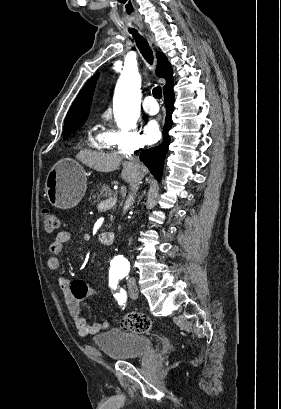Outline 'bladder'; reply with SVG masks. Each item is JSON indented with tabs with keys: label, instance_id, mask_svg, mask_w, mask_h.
I'll return each instance as SVG.
<instances>
[{
	"label": "bladder",
	"instance_id": "1",
	"mask_svg": "<svg viewBox=\"0 0 281 409\" xmlns=\"http://www.w3.org/2000/svg\"><path fill=\"white\" fill-rule=\"evenodd\" d=\"M98 352L113 361H131L140 355H154L151 338L119 327L107 328L93 337Z\"/></svg>",
	"mask_w": 281,
	"mask_h": 409
}]
</instances>
